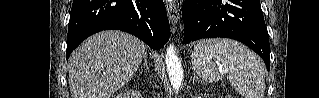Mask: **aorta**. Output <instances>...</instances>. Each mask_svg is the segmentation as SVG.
I'll use <instances>...</instances> for the list:
<instances>
[{"label": "aorta", "instance_id": "obj_1", "mask_svg": "<svg viewBox=\"0 0 319 98\" xmlns=\"http://www.w3.org/2000/svg\"><path fill=\"white\" fill-rule=\"evenodd\" d=\"M165 59L171 85L175 91H178L183 80V69L181 66V62L176 54L174 45H170L167 48Z\"/></svg>", "mask_w": 319, "mask_h": 98}]
</instances>
